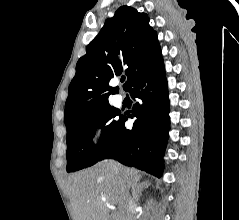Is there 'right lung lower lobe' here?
Returning a JSON list of instances; mask_svg holds the SVG:
<instances>
[{
    "label": "right lung lower lobe",
    "instance_id": "98d812e1",
    "mask_svg": "<svg viewBox=\"0 0 239 220\" xmlns=\"http://www.w3.org/2000/svg\"><path fill=\"white\" fill-rule=\"evenodd\" d=\"M127 91L135 99L132 113L120 117L114 136L98 161L113 158L160 177L170 123L163 60L137 77ZM134 117L133 128L126 129L125 121Z\"/></svg>",
    "mask_w": 239,
    "mask_h": 220
}]
</instances>
